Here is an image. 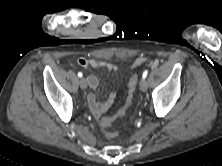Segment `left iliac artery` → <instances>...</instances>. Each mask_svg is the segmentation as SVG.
I'll return each mask as SVG.
<instances>
[{
  "label": "left iliac artery",
  "instance_id": "left-iliac-artery-1",
  "mask_svg": "<svg viewBox=\"0 0 222 166\" xmlns=\"http://www.w3.org/2000/svg\"><path fill=\"white\" fill-rule=\"evenodd\" d=\"M147 75H148V70H145L143 72L142 78L145 79L147 77Z\"/></svg>",
  "mask_w": 222,
  "mask_h": 166
}]
</instances>
